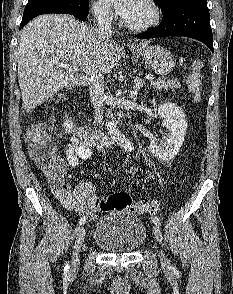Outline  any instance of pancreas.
Here are the masks:
<instances>
[{"label": "pancreas", "instance_id": "cf45deb5", "mask_svg": "<svg viewBox=\"0 0 233 294\" xmlns=\"http://www.w3.org/2000/svg\"><path fill=\"white\" fill-rule=\"evenodd\" d=\"M151 85L158 89H165V90H176L181 87V84L177 78L174 79H165L159 78L156 81H152Z\"/></svg>", "mask_w": 233, "mask_h": 294}]
</instances>
